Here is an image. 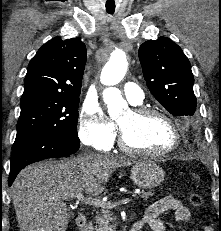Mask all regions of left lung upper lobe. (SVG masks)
Instances as JSON below:
<instances>
[{
  "instance_id": "5c2ea615",
  "label": "left lung upper lobe",
  "mask_w": 221,
  "mask_h": 231,
  "mask_svg": "<svg viewBox=\"0 0 221 231\" xmlns=\"http://www.w3.org/2000/svg\"><path fill=\"white\" fill-rule=\"evenodd\" d=\"M146 84L172 115L192 116L197 100L191 65L182 49L166 37L148 40L139 48Z\"/></svg>"
}]
</instances>
